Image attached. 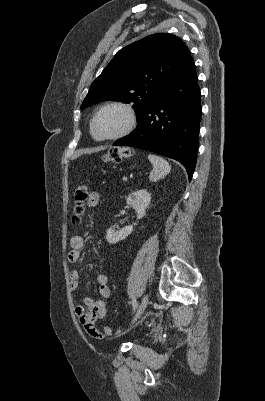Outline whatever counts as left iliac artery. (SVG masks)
Masks as SVG:
<instances>
[{"instance_id": "left-iliac-artery-1", "label": "left iliac artery", "mask_w": 265, "mask_h": 401, "mask_svg": "<svg viewBox=\"0 0 265 401\" xmlns=\"http://www.w3.org/2000/svg\"><path fill=\"white\" fill-rule=\"evenodd\" d=\"M132 306H133V310H135L136 307H137V301H136V299H133V300H132Z\"/></svg>"}]
</instances>
